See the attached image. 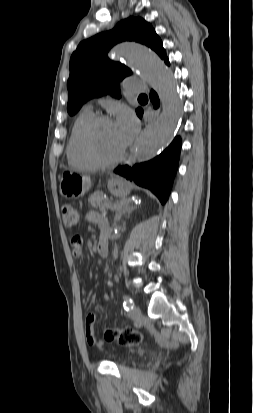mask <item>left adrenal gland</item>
I'll return each instance as SVG.
<instances>
[{"label":"left adrenal gland","instance_id":"left-adrenal-gland-1","mask_svg":"<svg viewBox=\"0 0 253 413\" xmlns=\"http://www.w3.org/2000/svg\"><path fill=\"white\" fill-rule=\"evenodd\" d=\"M135 209L134 206H131L129 202L124 203V205L117 211L114 221H120L123 215H129Z\"/></svg>","mask_w":253,"mask_h":413}]
</instances>
